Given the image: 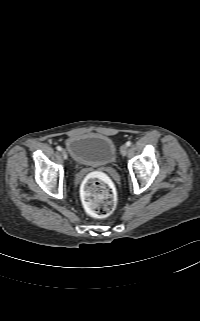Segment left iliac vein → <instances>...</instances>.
Returning a JSON list of instances; mask_svg holds the SVG:
<instances>
[{
  "label": "left iliac vein",
  "mask_w": 200,
  "mask_h": 321,
  "mask_svg": "<svg viewBox=\"0 0 200 321\" xmlns=\"http://www.w3.org/2000/svg\"><path fill=\"white\" fill-rule=\"evenodd\" d=\"M120 152L123 156H125L128 152V146L127 145H122L120 148Z\"/></svg>",
  "instance_id": "obj_1"
}]
</instances>
